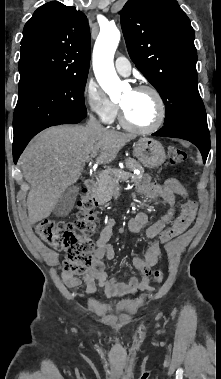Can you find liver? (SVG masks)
Returning a JSON list of instances; mask_svg holds the SVG:
<instances>
[{
	"mask_svg": "<svg viewBox=\"0 0 221 379\" xmlns=\"http://www.w3.org/2000/svg\"><path fill=\"white\" fill-rule=\"evenodd\" d=\"M134 136L88 126H58L44 130L20 157L25 180L31 189L27 198L32 224L50 216L60 195L81 176L87 157L109 164Z\"/></svg>",
	"mask_w": 221,
	"mask_h": 379,
	"instance_id": "liver-1",
	"label": "liver"
}]
</instances>
